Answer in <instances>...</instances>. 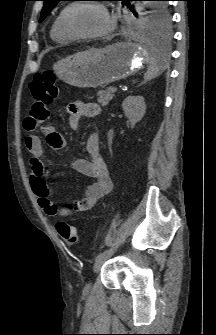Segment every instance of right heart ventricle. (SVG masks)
<instances>
[{"instance_id":"1","label":"right heart ventricle","mask_w":216,"mask_h":335,"mask_svg":"<svg viewBox=\"0 0 216 335\" xmlns=\"http://www.w3.org/2000/svg\"><path fill=\"white\" fill-rule=\"evenodd\" d=\"M67 6L63 7L58 14L56 15L52 26H51V30H50V36L52 38V40H54L57 43L60 44H65L70 42L72 39H70L69 37H67L66 35L63 34V32L60 29V17L63 13V11L65 10Z\"/></svg>"}]
</instances>
